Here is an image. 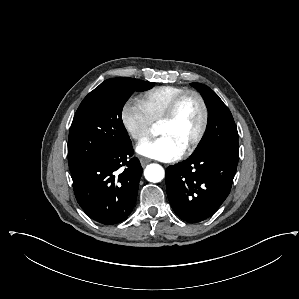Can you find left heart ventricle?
<instances>
[{"label":"left heart ventricle","instance_id":"1","mask_svg":"<svg viewBox=\"0 0 299 299\" xmlns=\"http://www.w3.org/2000/svg\"><path fill=\"white\" fill-rule=\"evenodd\" d=\"M202 121V108L197 98L190 96L182 103L174 121L158 126L160 136L169 137L185 149L196 136Z\"/></svg>","mask_w":299,"mask_h":299}]
</instances>
